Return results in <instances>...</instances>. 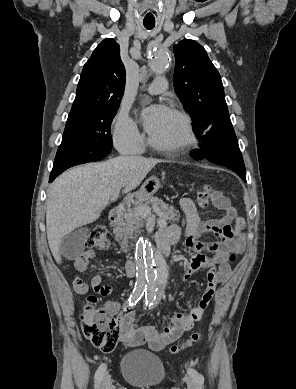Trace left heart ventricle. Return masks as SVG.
<instances>
[{
	"mask_svg": "<svg viewBox=\"0 0 296 389\" xmlns=\"http://www.w3.org/2000/svg\"><path fill=\"white\" fill-rule=\"evenodd\" d=\"M183 134L181 120L175 114L169 112L159 129L151 136L159 143L171 144L180 141Z\"/></svg>",
	"mask_w": 296,
	"mask_h": 389,
	"instance_id": "left-heart-ventricle-1",
	"label": "left heart ventricle"
}]
</instances>
